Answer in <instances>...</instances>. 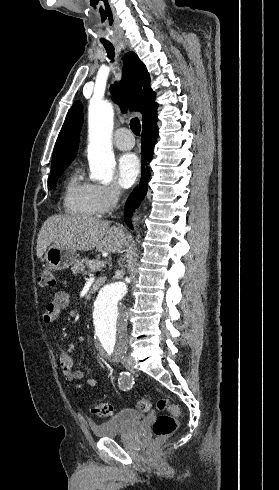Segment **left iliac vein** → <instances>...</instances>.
<instances>
[{
    "mask_svg": "<svg viewBox=\"0 0 279 490\" xmlns=\"http://www.w3.org/2000/svg\"><path fill=\"white\" fill-rule=\"evenodd\" d=\"M122 358H123V357H122V356H120V355L115 356V360H120V359H122Z\"/></svg>",
    "mask_w": 279,
    "mask_h": 490,
    "instance_id": "left-iliac-vein-1",
    "label": "left iliac vein"
}]
</instances>
